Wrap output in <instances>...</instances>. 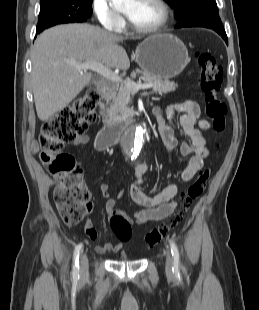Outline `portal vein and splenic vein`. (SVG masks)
I'll list each match as a JSON object with an SVG mask.
<instances>
[{"label":"portal vein and splenic vein","mask_w":259,"mask_h":310,"mask_svg":"<svg viewBox=\"0 0 259 310\" xmlns=\"http://www.w3.org/2000/svg\"><path fill=\"white\" fill-rule=\"evenodd\" d=\"M70 64L74 66L77 69H90L92 71H95L102 75L103 77L117 83H121L126 86L127 89H129L131 92H137L140 89H149L153 85L149 83H135L130 80H123L119 75L114 73L111 69L108 67L104 66L103 63L100 62H95V61H86L83 63H78L75 61H70Z\"/></svg>","instance_id":"1"}]
</instances>
